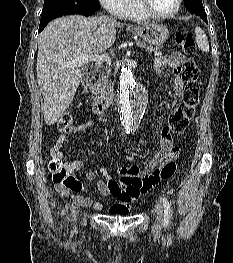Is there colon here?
Returning a JSON list of instances; mask_svg holds the SVG:
<instances>
[{
    "mask_svg": "<svg viewBox=\"0 0 233 263\" xmlns=\"http://www.w3.org/2000/svg\"><path fill=\"white\" fill-rule=\"evenodd\" d=\"M175 41L181 50L187 55L196 53V44L192 35L186 31H179L175 36ZM181 77L185 82L183 100L180 105L170 114L167 130V136L172 141L174 136L182 134L190 120L194 117L200 103V70L192 60L185 62L181 72ZM73 115L65 113L58 121L57 127L61 132H68L73 125ZM177 165L174 158L166 161L159 169H156L152 175L145 178L148 185L157 184L160 180L172 177L176 171ZM49 169L55 183H61L64 189H82L85 191L84 184H80L77 178L70 176L65 164L57 159H52L49 163Z\"/></svg>",
    "mask_w": 233,
    "mask_h": 263,
    "instance_id": "1",
    "label": "colon"
}]
</instances>
